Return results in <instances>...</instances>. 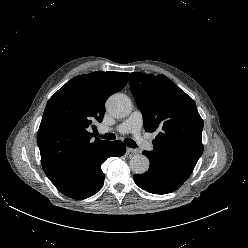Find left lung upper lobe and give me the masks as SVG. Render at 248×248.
Listing matches in <instances>:
<instances>
[{
	"mask_svg": "<svg viewBox=\"0 0 248 248\" xmlns=\"http://www.w3.org/2000/svg\"><path fill=\"white\" fill-rule=\"evenodd\" d=\"M129 84L144 129L159 132L147 157L185 182L203 153V120L194 100L164 75L134 72Z\"/></svg>",
	"mask_w": 248,
	"mask_h": 248,
	"instance_id": "1",
	"label": "left lung upper lobe"
}]
</instances>
